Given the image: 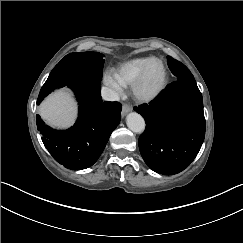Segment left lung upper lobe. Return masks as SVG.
<instances>
[{"instance_id": "1", "label": "left lung upper lobe", "mask_w": 243, "mask_h": 243, "mask_svg": "<svg viewBox=\"0 0 243 243\" xmlns=\"http://www.w3.org/2000/svg\"><path fill=\"white\" fill-rule=\"evenodd\" d=\"M167 63L173 75L176 76V80L195 81L190 70L181 62L167 56Z\"/></svg>"}]
</instances>
